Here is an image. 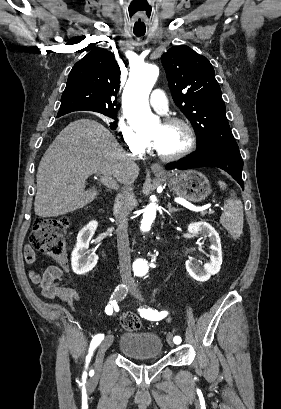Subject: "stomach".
I'll use <instances>...</instances> for the list:
<instances>
[{"label":"stomach","mask_w":281,"mask_h":409,"mask_svg":"<svg viewBox=\"0 0 281 409\" xmlns=\"http://www.w3.org/2000/svg\"><path fill=\"white\" fill-rule=\"evenodd\" d=\"M161 178L174 194L183 196L191 202H201L211 192L207 176L198 170H178V172H170L167 178L165 176Z\"/></svg>","instance_id":"stomach-1"}]
</instances>
